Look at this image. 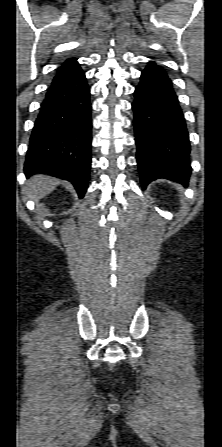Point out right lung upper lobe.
<instances>
[{
    "label": "right lung upper lobe",
    "mask_w": 222,
    "mask_h": 447,
    "mask_svg": "<svg viewBox=\"0 0 222 447\" xmlns=\"http://www.w3.org/2000/svg\"><path fill=\"white\" fill-rule=\"evenodd\" d=\"M76 62V58H70L67 59L60 68H58L57 71V75L54 77L53 80H56L57 78L61 77L62 75H64L70 68L71 66Z\"/></svg>",
    "instance_id": "obj_1"
}]
</instances>
